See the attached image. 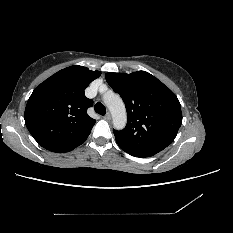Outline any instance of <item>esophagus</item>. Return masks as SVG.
<instances>
[{"label":"esophagus","mask_w":233,"mask_h":233,"mask_svg":"<svg viewBox=\"0 0 233 233\" xmlns=\"http://www.w3.org/2000/svg\"><path fill=\"white\" fill-rule=\"evenodd\" d=\"M104 119L110 120L111 119V114L108 112L105 116Z\"/></svg>","instance_id":"34e87169"}]
</instances>
